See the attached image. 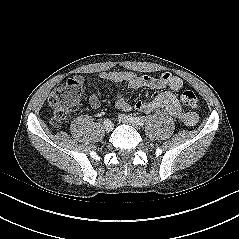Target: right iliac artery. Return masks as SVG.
Wrapping results in <instances>:
<instances>
[{"instance_id":"82829eb1","label":"right iliac artery","mask_w":239,"mask_h":239,"mask_svg":"<svg viewBox=\"0 0 239 239\" xmlns=\"http://www.w3.org/2000/svg\"><path fill=\"white\" fill-rule=\"evenodd\" d=\"M104 124H107V125H110V126H114L115 122L111 121V119L107 118V119H105Z\"/></svg>"}]
</instances>
